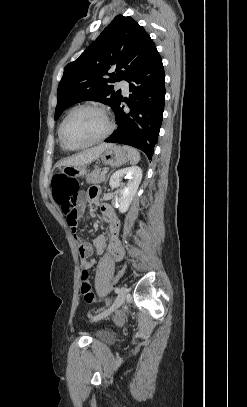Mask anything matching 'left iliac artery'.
<instances>
[{"instance_id":"obj_1","label":"left iliac artery","mask_w":247,"mask_h":407,"mask_svg":"<svg viewBox=\"0 0 247 407\" xmlns=\"http://www.w3.org/2000/svg\"><path fill=\"white\" fill-rule=\"evenodd\" d=\"M115 292H116V293H119V288H115ZM100 310H103V308L99 309V311H100Z\"/></svg>"}]
</instances>
